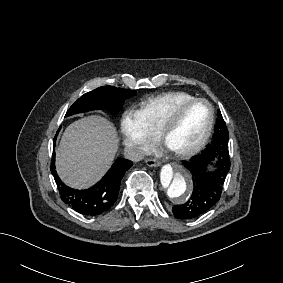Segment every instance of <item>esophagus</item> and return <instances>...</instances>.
<instances>
[{
    "instance_id": "34e87169",
    "label": "esophagus",
    "mask_w": 283,
    "mask_h": 283,
    "mask_svg": "<svg viewBox=\"0 0 283 283\" xmlns=\"http://www.w3.org/2000/svg\"><path fill=\"white\" fill-rule=\"evenodd\" d=\"M146 164L150 167H158L160 166L161 163L156 159H148L146 160Z\"/></svg>"
}]
</instances>
